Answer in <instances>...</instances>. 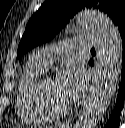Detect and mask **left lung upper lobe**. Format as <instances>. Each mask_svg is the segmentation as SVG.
I'll list each match as a JSON object with an SVG mask.
<instances>
[{"label": "left lung upper lobe", "instance_id": "left-lung-upper-lobe-1", "mask_svg": "<svg viewBox=\"0 0 125 128\" xmlns=\"http://www.w3.org/2000/svg\"><path fill=\"white\" fill-rule=\"evenodd\" d=\"M85 7L103 11L117 27L125 22V0H51L43 3L29 20L18 46L17 58L49 41Z\"/></svg>", "mask_w": 125, "mask_h": 128}]
</instances>
